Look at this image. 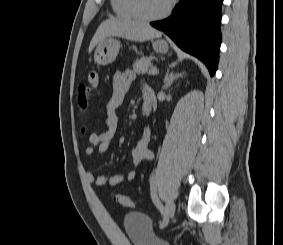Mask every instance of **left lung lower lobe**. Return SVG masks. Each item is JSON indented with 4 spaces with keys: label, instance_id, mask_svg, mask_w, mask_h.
<instances>
[{
    "label": "left lung lower lobe",
    "instance_id": "0a47b994",
    "mask_svg": "<svg viewBox=\"0 0 283 245\" xmlns=\"http://www.w3.org/2000/svg\"><path fill=\"white\" fill-rule=\"evenodd\" d=\"M223 0H191L187 10L177 5L172 15L151 25L166 33L182 50L206 64L215 74L221 44Z\"/></svg>",
    "mask_w": 283,
    "mask_h": 245
}]
</instances>
